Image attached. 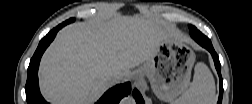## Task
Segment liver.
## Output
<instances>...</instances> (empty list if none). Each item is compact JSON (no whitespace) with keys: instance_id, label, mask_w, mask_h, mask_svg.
Wrapping results in <instances>:
<instances>
[{"instance_id":"1","label":"liver","mask_w":252,"mask_h":104,"mask_svg":"<svg viewBox=\"0 0 252 104\" xmlns=\"http://www.w3.org/2000/svg\"><path fill=\"white\" fill-rule=\"evenodd\" d=\"M170 36L175 34L165 21L139 15L68 25L42 57L41 92L52 103H93L113 85L109 74L129 78L130 69L152 57Z\"/></svg>"}]
</instances>
